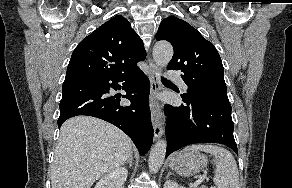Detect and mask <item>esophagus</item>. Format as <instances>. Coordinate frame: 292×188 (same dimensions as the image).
Instances as JSON below:
<instances>
[{
    "mask_svg": "<svg viewBox=\"0 0 292 188\" xmlns=\"http://www.w3.org/2000/svg\"><path fill=\"white\" fill-rule=\"evenodd\" d=\"M149 80H150V92L152 96L154 141H157L163 135V126L158 118V115L161 111V105L155 99L156 94L161 89V85L159 81V67L150 58H149Z\"/></svg>",
    "mask_w": 292,
    "mask_h": 188,
    "instance_id": "1",
    "label": "esophagus"
}]
</instances>
